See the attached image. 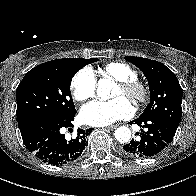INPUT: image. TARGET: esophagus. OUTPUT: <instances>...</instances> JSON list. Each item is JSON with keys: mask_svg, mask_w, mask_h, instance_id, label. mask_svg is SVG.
<instances>
[{"mask_svg": "<svg viewBox=\"0 0 196 196\" xmlns=\"http://www.w3.org/2000/svg\"><path fill=\"white\" fill-rule=\"evenodd\" d=\"M117 126L116 125H113V126H108V127H105V129H108V130H113L115 129Z\"/></svg>", "mask_w": 196, "mask_h": 196, "instance_id": "esophagus-1", "label": "esophagus"}]
</instances>
